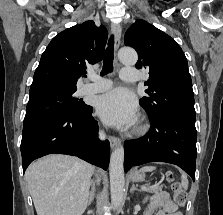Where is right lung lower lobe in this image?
Instances as JSON below:
<instances>
[{"mask_svg": "<svg viewBox=\"0 0 223 215\" xmlns=\"http://www.w3.org/2000/svg\"><path fill=\"white\" fill-rule=\"evenodd\" d=\"M92 111L90 106L82 116L50 114L24 120L20 146L23 173L33 160L52 153L78 156L106 170L110 144L98 140V123L91 117Z\"/></svg>", "mask_w": 223, "mask_h": 215, "instance_id": "obj_1", "label": "right lung lower lobe"}]
</instances>
